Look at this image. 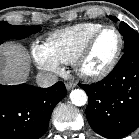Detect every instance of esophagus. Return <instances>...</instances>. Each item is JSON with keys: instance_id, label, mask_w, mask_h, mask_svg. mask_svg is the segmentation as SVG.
Masks as SVG:
<instances>
[{"instance_id": "esophagus-1", "label": "esophagus", "mask_w": 139, "mask_h": 139, "mask_svg": "<svg viewBox=\"0 0 139 139\" xmlns=\"http://www.w3.org/2000/svg\"><path fill=\"white\" fill-rule=\"evenodd\" d=\"M65 85H66L67 90H71L72 88H74L76 86V83L73 81H69Z\"/></svg>"}]
</instances>
